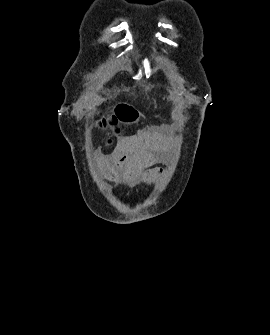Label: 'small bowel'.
Segmentation results:
<instances>
[{"label":"small bowel","mask_w":270,"mask_h":335,"mask_svg":"<svg viewBox=\"0 0 270 335\" xmlns=\"http://www.w3.org/2000/svg\"><path fill=\"white\" fill-rule=\"evenodd\" d=\"M170 135L169 126H154L123 139L114 153L101 158L102 172L126 188L154 184L163 175L156 165L167 160Z\"/></svg>","instance_id":"c3829d8e"}]
</instances>
